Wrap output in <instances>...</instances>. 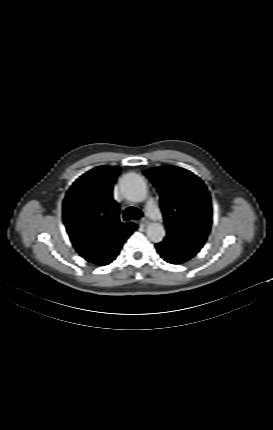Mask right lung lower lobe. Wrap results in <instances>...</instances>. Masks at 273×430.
<instances>
[{
    "instance_id": "1",
    "label": "right lung lower lobe",
    "mask_w": 273,
    "mask_h": 430,
    "mask_svg": "<svg viewBox=\"0 0 273 430\" xmlns=\"http://www.w3.org/2000/svg\"><path fill=\"white\" fill-rule=\"evenodd\" d=\"M121 246H119V245L115 246L109 253H107L106 257L102 261L95 263V264L107 265V264L111 263L116 258V256L118 255Z\"/></svg>"
}]
</instances>
